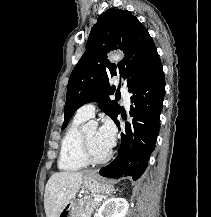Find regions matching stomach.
I'll return each mask as SVG.
<instances>
[{
  "label": "stomach",
  "mask_w": 211,
  "mask_h": 217,
  "mask_svg": "<svg viewBox=\"0 0 211 217\" xmlns=\"http://www.w3.org/2000/svg\"><path fill=\"white\" fill-rule=\"evenodd\" d=\"M85 189L94 194H109L114 188L106 180L101 178L95 172H89L83 179ZM78 203L75 200H70L65 204L58 217H77Z\"/></svg>",
  "instance_id": "0dacf381"
}]
</instances>
